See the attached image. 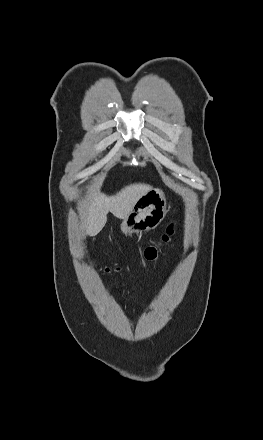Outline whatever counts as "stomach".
Listing matches in <instances>:
<instances>
[{
	"instance_id": "1",
	"label": "stomach",
	"mask_w": 263,
	"mask_h": 440,
	"mask_svg": "<svg viewBox=\"0 0 263 440\" xmlns=\"http://www.w3.org/2000/svg\"><path fill=\"white\" fill-rule=\"evenodd\" d=\"M164 192L150 188L134 203L131 212L124 218L121 228L127 233H141L155 229L168 212Z\"/></svg>"
}]
</instances>
